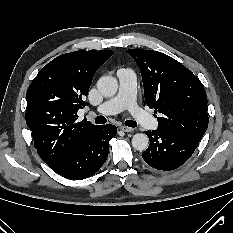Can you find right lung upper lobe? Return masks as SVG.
Listing matches in <instances>:
<instances>
[{
    "label": "right lung upper lobe",
    "mask_w": 233,
    "mask_h": 233,
    "mask_svg": "<svg viewBox=\"0 0 233 233\" xmlns=\"http://www.w3.org/2000/svg\"><path fill=\"white\" fill-rule=\"evenodd\" d=\"M113 54L111 50L66 53L45 65L27 91L26 124L34 147L46 163L76 147L98 126L87 119L77 122L85 106L96 70Z\"/></svg>",
    "instance_id": "right-lung-upper-lobe-1"
}]
</instances>
